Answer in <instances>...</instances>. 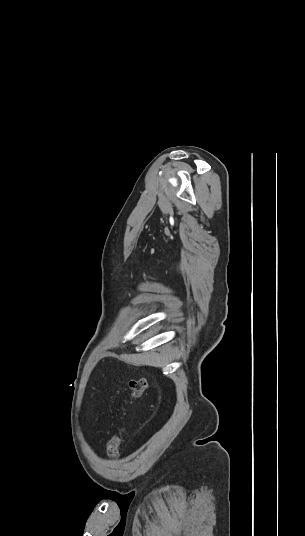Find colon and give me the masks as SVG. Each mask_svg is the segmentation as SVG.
Returning a JSON list of instances; mask_svg holds the SVG:
<instances>
[{
	"instance_id": "obj_1",
	"label": "colon",
	"mask_w": 305,
	"mask_h": 536,
	"mask_svg": "<svg viewBox=\"0 0 305 536\" xmlns=\"http://www.w3.org/2000/svg\"><path fill=\"white\" fill-rule=\"evenodd\" d=\"M130 391L128 394L129 399H138L144 396L147 390V382L144 378L131 379L129 382ZM124 433V428L120 425L114 436L110 439L108 444L109 455L115 456L117 454L119 445L121 443V438Z\"/></svg>"
}]
</instances>
